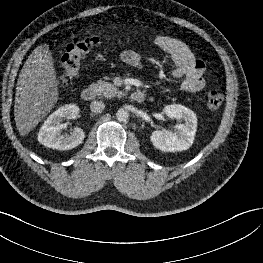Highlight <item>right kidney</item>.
Segmentation results:
<instances>
[{
  "instance_id": "ca27d5eb",
  "label": "right kidney",
  "mask_w": 263,
  "mask_h": 263,
  "mask_svg": "<svg viewBox=\"0 0 263 263\" xmlns=\"http://www.w3.org/2000/svg\"><path fill=\"white\" fill-rule=\"evenodd\" d=\"M79 107L73 104L64 105L53 112L43 123L38 133V141L45 147L57 150H70L77 147L85 138L81 128H74L70 134H62L64 118H76Z\"/></svg>"
}]
</instances>
